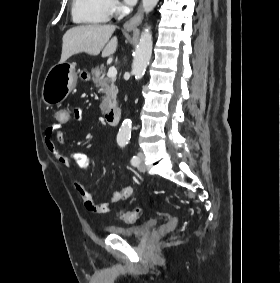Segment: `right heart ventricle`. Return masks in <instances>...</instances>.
<instances>
[{
  "label": "right heart ventricle",
  "mask_w": 280,
  "mask_h": 283,
  "mask_svg": "<svg viewBox=\"0 0 280 283\" xmlns=\"http://www.w3.org/2000/svg\"><path fill=\"white\" fill-rule=\"evenodd\" d=\"M71 14L79 24H101L110 18L107 0H72Z\"/></svg>",
  "instance_id": "right-heart-ventricle-1"
}]
</instances>
